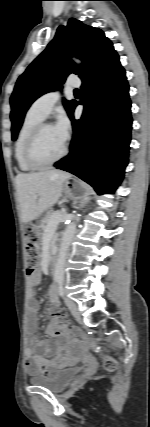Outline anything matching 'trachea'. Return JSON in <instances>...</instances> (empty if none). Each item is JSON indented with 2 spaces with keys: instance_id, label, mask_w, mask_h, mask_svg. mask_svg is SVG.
I'll return each mask as SVG.
<instances>
[{
  "instance_id": "3493384b",
  "label": "trachea",
  "mask_w": 150,
  "mask_h": 427,
  "mask_svg": "<svg viewBox=\"0 0 150 427\" xmlns=\"http://www.w3.org/2000/svg\"><path fill=\"white\" fill-rule=\"evenodd\" d=\"M74 92H79V90L78 89H75V91Z\"/></svg>"
}]
</instances>
